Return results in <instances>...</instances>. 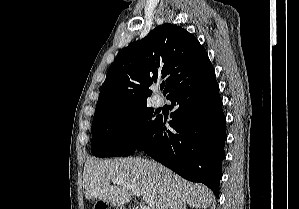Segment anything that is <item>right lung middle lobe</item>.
<instances>
[{"label":"right lung middle lobe","mask_w":299,"mask_h":209,"mask_svg":"<svg viewBox=\"0 0 299 209\" xmlns=\"http://www.w3.org/2000/svg\"><path fill=\"white\" fill-rule=\"evenodd\" d=\"M155 116L146 103L95 115L91 127L92 154L96 157L133 154L156 122Z\"/></svg>","instance_id":"1"}]
</instances>
